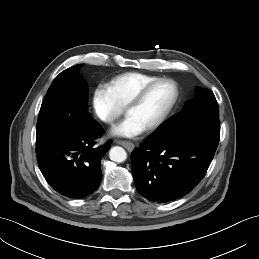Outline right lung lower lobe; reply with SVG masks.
<instances>
[{
  "label": "right lung lower lobe",
  "mask_w": 259,
  "mask_h": 259,
  "mask_svg": "<svg viewBox=\"0 0 259 259\" xmlns=\"http://www.w3.org/2000/svg\"><path fill=\"white\" fill-rule=\"evenodd\" d=\"M103 128L92 119L75 129H57L36 142L39 168L48 184L61 195L84 198L101 181L100 160L112 141L94 146Z\"/></svg>",
  "instance_id": "1"
}]
</instances>
